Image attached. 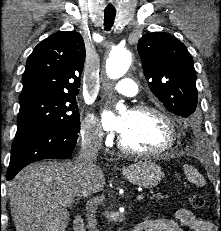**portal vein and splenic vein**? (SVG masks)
<instances>
[{"label":"portal vein and splenic vein","instance_id":"1","mask_svg":"<svg viewBox=\"0 0 221 231\" xmlns=\"http://www.w3.org/2000/svg\"><path fill=\"white\" fill-rule=\"evenodd\" d=\"M144 197H145L144 194H139V195H137L136 199L137 200H143ZM74 201H75V199H67L64 203H66V204H72Z\"/></svg>","mask_w":221,"mask_h":231}]
</instances>
